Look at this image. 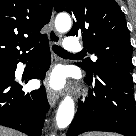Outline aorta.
I'll return each mask as SVG.
<instances>
[{
    "mask_svg": "<svg viewBox=\"0 0 136 136\" xmlns=\"http://www.w3.org/2000/svg\"><path fill=\"white\" fill-rule=\"evenodd\" d=\"M55 27L58 32L64 33L71 28V18L66 13L58 14L55 19ZM74 117V101L70 96H66L59 105L56 123L59 128H66Z\"/></svg>",
    "mask_w": 136,
    "mask_h": 136,
    "instance_id": "obj_1",
    "label": "aorta"
}]
</instances>
